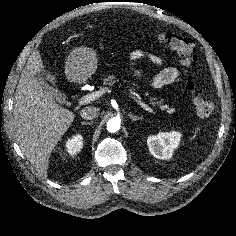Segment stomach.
Segmentation results:
<instances>
[{
    "label": "stomach",
    "mask_w": 236,
    "mask_h": 236,
    "mask_svg": "<svg viewBox=\"0 0 236 236\" xmlns=\"http://www.w3.org/2000/svg\"><path fill=\"white\" fill-rule=\"evenodd\" d=\"M95 51L87 47L73 50L67 58L65 73L70 81L80 82L90 77L97 68Z\"/></svg>",
    "instance_id": "1"
}]
</instances>
